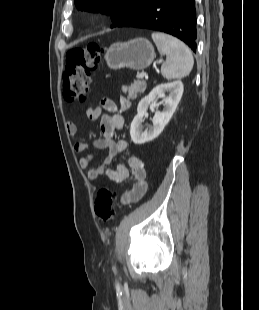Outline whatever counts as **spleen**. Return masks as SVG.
<instances>
[{
  "label": "spleen",
  "mask_w": 259,
  "mask_h": 310,
  "mask_svg": "<svg viewBox=\"0 0 259 310\" xmlns=\"http://www.w3.org/2000/svg\"><path fill=\"white\" fill-rule=\"evenodd\" d=\"M158 51L166 55L161 66L163 77L168 80L186 77L191 72L194 59L190 49L179 39L161 32L152 33Z\"/></svg>",
  "instance_id": "spleen-1"
}]
</instances>
